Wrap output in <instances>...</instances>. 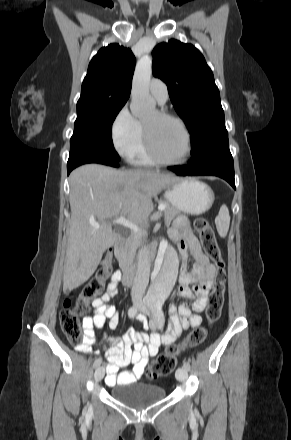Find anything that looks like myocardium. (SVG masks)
I'll return each instance as SVG.
<instances>
[{
  "instance_id": "myocardium-1",
  "label": "myocardium",
  "mask_w": 291,
  "mask_h": 440,
  "mask_svg": "<svg viewBox=\"0 0 291 440\" xmlns=\"http://www.w3.org/2000/svg\"><path fill=\"white\" fill-rule=\"evenodd\" d=\"M156 112L160 117L173 120L181 127V129L184 132L185 137H186L187 151H186L184 158L181 159L180 161H167V160L163 159L162 156L156 150L155 146L153 145L149 130L147 129L145 124L142 123L143 138H144L145 146H146V149H147L149 155L151 156V158L155 162H157L158 164H161L163 166H172L173 167V166H180V165L185 164L189 160V158L192 154V150H193L192 137H191V133H190L188 127L186 126L185 122L177 115L169 113L165 110H157Z\"/></svg>"
}]
</instances>
